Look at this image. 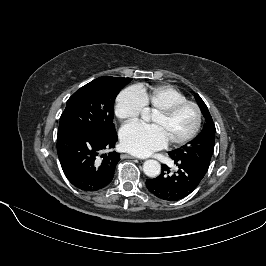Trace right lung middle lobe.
Returning <instances> with one entry per match:
<instances>
[{
	"label": "right lung middle lobe",
	"mask_w": 266,
	"mask_h": 266,
	"mask_svg": "<svg viewBox=\"0 0 266 266\" xmlns=\"http://www.w3.org/2000/svg\"><path fill=\"white\" fill-rule=\"evenodd\" d=\"M131 78L99 77L77 90L67 101L58 133L81 130L101 136L115 132L114 101Z\"/></svg>",
	"instance_id": "right-lung-middle-lobe-1"
}]
</instances>
